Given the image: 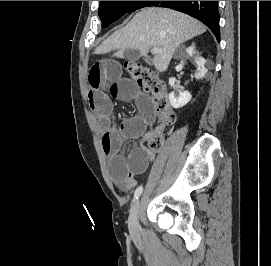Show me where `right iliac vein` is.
Returning a JSON list of instances; mask_svg holds the SVG:
<instances>
[{
	"mask_svg": "<svg viewBox=\"0 0 271 266\" xmlns=\"http://www.w3.org/2000/svg\"><path fill=\"white\" fill-rule=\"evenodd\" d=\"M141 211L140 200H136L131 208L129 216V231L133 237L139 235V214Z\"/></svg>",
	"mask_w": 271,
	"mask_h": 266,
	"instance_id": "63e3f726",
	"label": "right iliac vein"
}]
</instances>
